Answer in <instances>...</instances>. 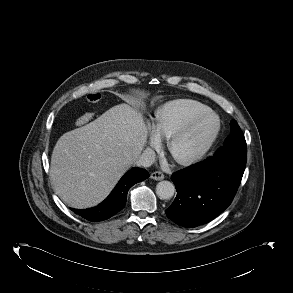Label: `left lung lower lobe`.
Returning <instances> with one entry per match:
<instances>
[{
	"mask_svg": "<svg viewBox=\"0 0 293 293\" xmlns=\"http://www.w3.org/2000/svg\"><path fill=\"white\" fill-rule=\"evenodd\" d=\"M246 157L243 147L173 173L177 196L165 210L167 217L184 227H196L217 217L237 192Z\"/></svg>",
	"mask_w": 293,
	"mask_h": 293,
	"instance_id": "0a47b994",
	"label": "left lung lower lobe"
}]
</instances>
